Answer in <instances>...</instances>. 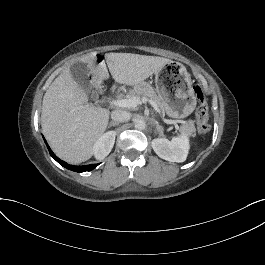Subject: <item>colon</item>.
Returning a JSON list of instances; mask_svg holds the SVG:
<instances>
[{
  "mask_svg": "<svg viewBox=\"0 0 265 265\" xmlns=\"http://www.w3.org/2000/svg\"><path fill=\"white\" fill-rule=\"evenodd\" d=\"M98 61H102V58L99 57ZM193 89L198 100V106L196 110L198 130L201 134H206L210 130L207 102L203 94L202 88L198 83H194Z\"/></svg>",
  "mask_w": 265,
  "mask_h": 265,
  "instance_id": "1",
  "label": "colon"
}]
</instances>
